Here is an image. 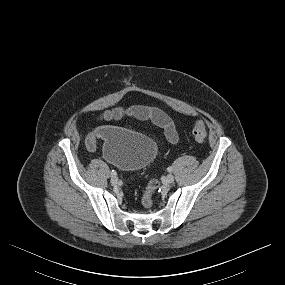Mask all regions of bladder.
I'll list each match as a JSON object with an SVG mask.
<instances>
[{
    "label": "bladder",
    "instance_id": "obj_1",
    "mask_svg": "<svg viewBox=\"0 0 285 285\" xmlns=\"http://www.w3.org/2000/svg\"><path fill=\"white\" fill-rule=\"evenodd\" d=\"M157 150L156 142L145 134L116 126L104 129L103 155L123 170H141L155 158Z\"/></svg>",
    "mask_w": 285,
    "mask_h": 285
}]
</instances>
